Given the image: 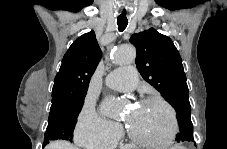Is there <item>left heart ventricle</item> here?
<instances>
[{"instance_id": "left-heart-ventricle-1", "label": "left heart ventricle", "mask_w": 227, "mask_h": 149, "mask_svg": "<svg viewBox=\"0 0 227 149\" xmlns=\"http://www.w3.org/2000/svg\"><path fill=\"white\" fill-rule=\"evenodd\" d=\"M124 119L136 134L149 140H163L172 129L170 113L159 103L141 104L126 113Z\"/></svg>"}]
</instances>
